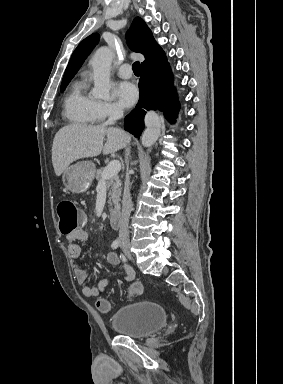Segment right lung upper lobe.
<instances>
[{"label":"right lung upper lobe","mask_w":283,"mask_h":384,"mask_svg":"<svg viewBox=\"0 0 283 384\" xmlns=\"http://www.w3.org/2000/svg\"><path fill=\"white\" fill-rule=\"evenodd\" d=\"M127 39L133 51L145 56V61L141 63V71L155 70L167 64L164 51L156 43L151 30L141 18L134 19L127 33ZM98 41L99 35L95 33L78 45L65 70L62 83L70 82Z\"/></svg>","instance_id":"cb5924a9"}]
</instances>
